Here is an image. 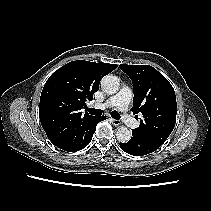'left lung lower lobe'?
Instances as JSON below:
<instances>
[{
  "instance_id": "0a47b994",
  "label": "left lung lower lobe",
  "mask_w": 211,
  "mask_h": 211,
  "mask_svg": "<svg viewBox=\"0 0 211 211\" xmlns=\"http://www.w3.org/2000/svg\"><path fill=\"white\" fill-rule=\"evenodd\" d=\"M132 138L127 143H120V147L126 153L133 156H142L157 150L160 145L152 142L151 140L138 136L132 132Z\"/></svg>"
}]
</instances>
